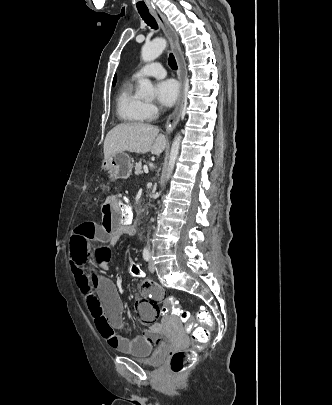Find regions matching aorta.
Wrapping results in <instances>:
<instances>
[{
  "label": "aorta",
  "mask_w": 332,
  "mask_h": 405,
  "mask_svg": "<svg viewBox=\"0 0 332 405\" xmlns=\"http://www.w3.org/2000/svg\"><path fill=\"white\" fill-rule=\"evenodd\" d=\"M166 46L167 41L164 38L157 37L153 39L151 42L143 45L141 50V58L143 59L144 62H151L162 54ZM139 94L145 98L150 97L153 94V85L149 79H141L139 81ZM180 142H181V135L178 134L174 138L170 150L166 176L167 180L170 178L174 170L175 163L180 152Z\"/></svg>",
  "instance_id": "762f6f07"
}]
</instances>
